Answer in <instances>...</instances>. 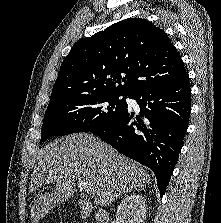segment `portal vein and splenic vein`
I'll return each mask as SVG.
<instances>
[{"label": "portal vein and splenic vein", "instance_id": "portal-vein-and-splenic-vein-1", "mask_svg": "<svg viewBox=\"0 0 221 223\" xmlns=\"http://www.w3.org/2000/svg\"><path fill=\"white\" fill-rule=\"evenodd\" d=\"M78 185L81 191H85L87 194H93L92 188L88 186L87 184L79 182Z\"/></svg>", "mask_w": 221, "mask_h": 223}]
</instances>
